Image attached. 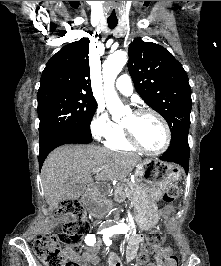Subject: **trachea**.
I'll use <instances>...</instances> for the list:
<instances>
[{
  "label": "trachea",
  "mask_w": 221,
  "mask_h": 266,
  "mask_svg": "<svg viewBox=\"0 0 221 266\" xmlns=\"http://www.w3.org/2000/svg\"><path fill=\"white\" fill-rule=\"evenodd\" d=\"M107 22L110 29H114L118 24V21L116 20H108Z\"/></svg>",
  "instance_id": "1"
}]
</instances>
